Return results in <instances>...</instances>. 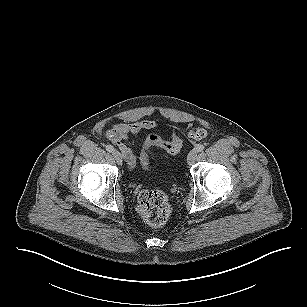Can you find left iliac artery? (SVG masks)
<instances>
[{
	"label": "left iliac artery",
	"instance_id": "1",
	"mask_svg": "<svg viewBox=\"0 0 307 307\" xmlns=\"http://www.w3.org/2000/svg\"><path fill=\"white\" fill-rule=\"evenodd\" d=\"M205 149V146L203 145V144H198L197 146H196V148H195V150L197 151V152H201V151H203Z\"/></svg>",
	"mask_w": 307,
	"mask_h": 307
}]
</instances>
